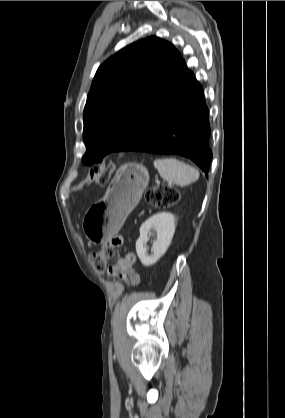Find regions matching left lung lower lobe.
Returning a JSON list of instances; mask_svg holds the SVG:
<instances>
[{"label":"left lung lower lobe","mask_w":285,"mask_h":418,"mask_svg":"<svg viewBox=\"0 0 285 418\" xmlns=\"http://www.w3.org/2000/svg\"><path fill=\"white\" fill-rule=\"evenodd\" d=\"M203 88L183 61L170 86L123 151L178 154L208 172L212 151Z\"/></svg>","instance_id":"1"}]
</instances>
